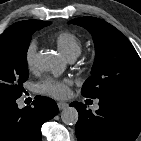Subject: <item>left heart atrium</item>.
Instances as JSON below:
<instances>
[{
  "mask_svg": "<svg viewBox=\"0 0 141 141\" xmlns=\"http://www.w3.org/2000/svg\"><path fill=\"white\" fill-rule=\"evenodd\" d=\"M70 81L45 78L37 83L36 90L54 98H65L69 94Z\"/></svg>",
  "mask_w": 141,
  "mask_h": 141,
  "instance_id": "1",
  "label": "left heart atrium"
}]
</instances>
